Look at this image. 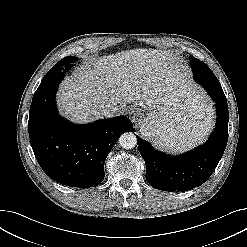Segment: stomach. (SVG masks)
<instances>
[{"instance_id":"obj_1","label":"stomach","mask_w":247,"mask_h":247,"mask_svg":"<svg viewBox=\"0 0 247 247\" xmlns=\"http://www.w3.org/2000/svg\"><path fill=\"white\" fill-rule=\"evenodd\" d=\"M197 106L190 114L186 107ZM211 107L208 99L185 79L179 86L173 87L166 99L147 114L141 122V133L152 139L160 148L170 151H184L200 141L208 132L205 121L211 119L207 109Z\"/></svg>"}]
</instances>
